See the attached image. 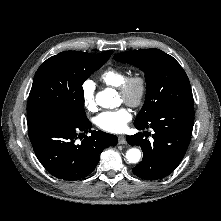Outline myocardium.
<instances>
[{
  "instance_id": "myocardium-1",
  "label": "myocardium",
  "mask_w": 221,
  "mask_h": 221,
  "mask_svg": "<svg viewBox=\"0 0 221 221\" xmlns=\"http://www.w3.org/2000/svg\"><path fill=\"white\" fill-rule=\"evenodd\" d=\"M118 89L125 103L132 107H139L146 99L148 84L144 75L134 73L127 76Z\"/></svg>"
}]
</instances>
